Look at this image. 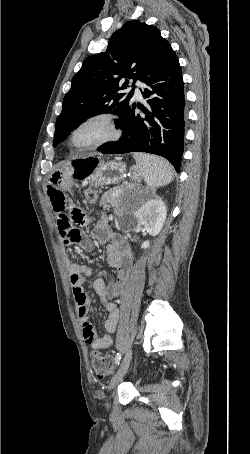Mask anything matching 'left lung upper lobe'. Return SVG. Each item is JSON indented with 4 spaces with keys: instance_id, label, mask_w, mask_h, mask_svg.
<instances>
[{
    "instance_id": "left-lung-upper-lobe-1",
    "label": "left lung upper lobe",
    "mask_w": 250,
    "mask_h": 454,
    "mask_svg": "<svg viewBox=\"0 0 250 454\" xmlns=\"http://www.w3.org/2000/svg\"><path fill=\"white\" fill-rule=\"evenodd\" d=\"M173 51L152 25L139 20L126 22L111 36L105 52L89 56L72 78L70 91L56 120V147L84 120L103 113L120 116L118 127L130 107L134 89L125 97L129 79L141 81ZM120 86V83H122Z\"/></svg>"
}]
</instances>
